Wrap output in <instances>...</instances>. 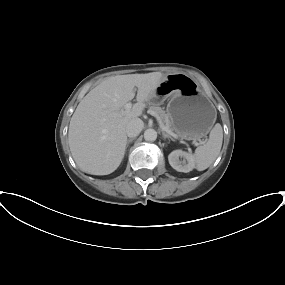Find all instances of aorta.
<instances>
[{
	"mask_svg": "<svg viewBox=\"0 0 285 285\" xmlns=\"http://www.w3.org/2000/svg\"><path fill=\"white\" fill-rule=\"evenodd\" d=\"M144 139L146 141H150V142H153L157 139V132L154 130V129H147L145 130L144 132Z\"/></svg>",
	"mask_w": 285,
	"mask_h": 285,
	"instance_id": "1",
	"label": "aorta"
}]
</instances>
